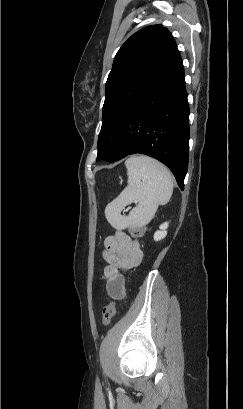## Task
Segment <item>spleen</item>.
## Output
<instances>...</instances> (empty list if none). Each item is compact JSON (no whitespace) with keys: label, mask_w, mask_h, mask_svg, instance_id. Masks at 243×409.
<instances>
[{"label":"spleen","mask_w":243,"mask_h":409,"mask_svg":"<svg viewBox=\"0 0 243 409\" xmlns=\"http://www.w3.org/2000/svg\"><path fill=\"white\" fill-rule=\"evenodd\" d=\"M128 185L105 208L108 222L119 229L142 227L155 216L159 205L166 204L173 192V177L160 162L144 155L130 157L126 161ZM138 204L128 216L122 210L132 202Z\"/></svg>","instance_id":"spleen-1"}]
</instances>
